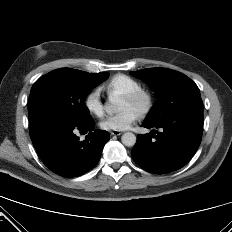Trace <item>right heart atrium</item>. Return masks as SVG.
Listing matches in <instances>:
<instances>
[{
  "mask_svg": "<svg viewBox=\"0 0 232 232\" xmlns=\"http://www.w3.org/2000/svg\"><path fill=\"white\" fill-rule=\"evenodd\" d=\"M84 106L90 114L96 117H101L104 114V105L99 90L94 89L86 94Z\"/></svg>",
  "mask_w": 232,
  "mask_h": 232,
  "instance_id": "right-heart-atrium-1",
  "label": "right heart atrium"
}]
</instances>
